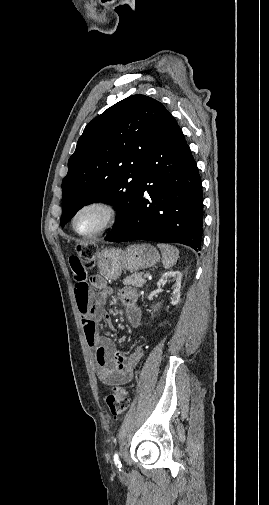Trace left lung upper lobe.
Wrapping results in <instances>:
<instances>
[{
  "instance_id": "5c2ea615",
  "label": "left lung upper lobe",
  "mask_w": 269,
  "mask_h": 505,
  "mask_svg": "<svg viewBox=\"0 0 269 505\" xmlns=\"http://www.w3.org/2000/svg\"><path fill=\"white\" fill-rule=\"evenodd\" d=\"M167 112L159 101L138 94L87 124L62 181V227L83 206L99 201L118 211L110 232L130 219L150 141Z\"/></svg>"
}]
</instances>
